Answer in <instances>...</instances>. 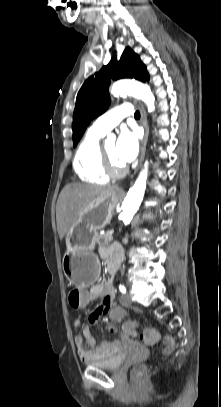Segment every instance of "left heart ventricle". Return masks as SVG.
<instances>
[{"label": "left heart ventricle", "mask_w": 221, "mask_h": 407, "mask_svg": "<svg viewBox=\"0 0 221 407\" xmlns=\"http://www.w3.org/2000/svg\"><path fill=\"white\" fill-rule=\"evenodd\" d=\"M104 149H105L107 156L112 161V163L117 167H121L122 164L118 161L117 156H116V145L114 143H112V144L106 146Z\"/></svg>", "instance_id": "obj_1"}]
</instances>
